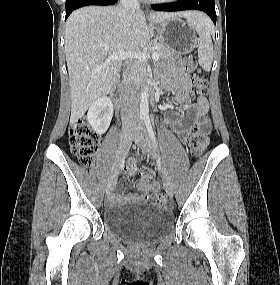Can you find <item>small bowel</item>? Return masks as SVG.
<instances>
[{
    "label": "small bowel",
    "instance_id": "small-bowel-1",
    "mask_svg": "<svg viewBox=\"0 0 280 285\" xmlns=\"http://www.w3.org/2000/svg\"><path fill=\"white\" fill-rule=\"evenodd\" d=\"M168 87L174 93L175 101L178 105H185L189 92L191 90V81L190 79L182 73V67L180 65L175 66L172 72V79L167 82ZM195 108V118L198 122V126H210V122L207 116L208 113V102L205 98H200L197 103L194 105ZM172 129L182 135L184 138L187 134V127L181 121H172L171 122ZM211 127V126H210ZM138 169L137 162L132 160L130 161L126 167L125 172L129 175L134 174ZM125 181L121 183L122 186L125 185ZM136 187L140 191L139 193H114L109 195L110 203H118V202H145L149 198L152 192L158 190L159 186L156 182L152 181L151 183H144L142 181L136 182Z\"/></svg>",
    "mask_w": 280,
    "mask_h": 285
}]
</instances>
